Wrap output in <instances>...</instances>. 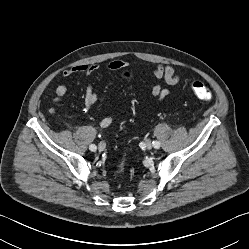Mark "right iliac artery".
<instances>
[{
  "instance_id": "right-iliac-artery-1",
  "label": "right iliac artery",
  "mask_w": 249,
  "mask_h": 249,
  "mask_svg": "<svg viewBox=\"0 0 249 249\" xmlns=\"http://www.w3.org/2000/svg\"><path fill=\"white\" fill-rule=\"evenodd\" d=\"M89 149L91 151H95L97 149V147L94 144H92V145L89 146Z\"/></svg>"
}]
</instances>
